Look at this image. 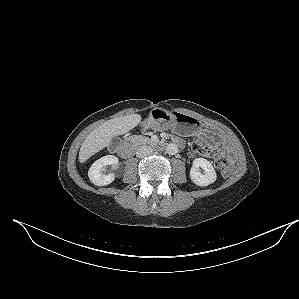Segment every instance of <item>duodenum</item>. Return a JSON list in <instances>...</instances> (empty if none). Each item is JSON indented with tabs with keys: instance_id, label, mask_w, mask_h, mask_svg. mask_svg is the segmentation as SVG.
Listing matches in <instances>:
<instances>
[{
	"instance_id": "obj_1",
	"label": "duodenum",
	"mask_w": 299,
	"mask_h": 299,
	"mask_svg": "<svg viewBox=\"0 0 299 299\" xmlns=\"http://www.w3.org/2000/svg\"><path fill=\"white\" fill-rule=\"evenodd\" d=\"M177 145H179L177 142H175ZM153 147L157 150H161L164 147L163 142H155L153 143ZM133 146L131 143L126 142L118 146L117 152L121 157H129L132 154Z\"/></svg>"
}]
</instances>
